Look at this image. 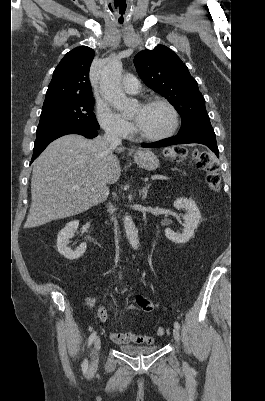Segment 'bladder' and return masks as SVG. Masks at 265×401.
Listing matches in <instances>:
<instances>
[{
	"mask_svg": "<svg viewBox=\"0 0 265 401\" xmlns=\"http://www.w3.org/2000/svg\"><path fill=\"white\" fill-rule=\"evenodd\" d=\"M158 346H145V347H137V346H121L120 350L129 353L132 355H146L148 353L157 350Z\"/></svg>",
	"mask_w": 265,
	"mask_h": 401,
	"instance_id": "obj_1",
	"label": "bladder"
}]
</instances>
